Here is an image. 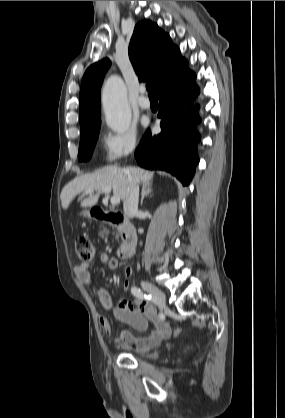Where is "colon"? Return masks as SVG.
<instances>
[{
  "mask_svg": "<svg viewBox=\"0 0 285 418\" xmlns=\"http://www.w3.org/2000/svg\"><path fill=\"white\" fill-rule=\"evenodd\" d=\"M74 246L77 257L82 263L88 262L95 255V245L93 244L92 240L88 235L78 236L75 239ZM181 331V328H177L171 333V336L176 337L180 334Z\"/></svg>",
  "mask_w": 285,
  "mask_h": 418,
  "instance_id": "obj_1",
  "label": "colon"
}]
</instances>
